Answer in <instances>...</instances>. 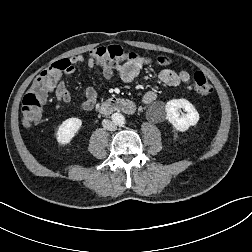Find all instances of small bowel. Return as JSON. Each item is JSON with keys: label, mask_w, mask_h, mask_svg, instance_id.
<instances>
[{"label": "small bowel", "mask_w": 252, "mask_h": 252, "mask_svg": "<svg viewBox=\"0 0 252 252\" xmlns=\"http://www.w3.org/2000/svg\"><path fill=\"white\" fill-rule=\"evenodd\" d=\"M143 57H140L136 61L128 62L124 65H119L116 67L120 78L124 82H132L140 73L144 66ZM71 64L70 68L65 72L67 74H72L74 72V64H81L85 62V57L83 55H77L69 59ZM96 62L93 58H89L87 65L89 68L93 69ZM103 77L107 80L111 79L114 74L113 66L104 65L102 66ZM160 81L168 87H177L181 84H189L191 77L186 71H173L170 69H163L158 73ZM49 91L54 93L57 99V108H60L62 104L71 101V94L64 82L56 83L49 88ZM85 100L82 102V107L84 109H92L97 102V93L93 87H87L85 89ZM157 98V94L154 91H147L142 96V102L146 105L153 103Z\"/></svg>", "instance_id": "1"}]
</instances>
